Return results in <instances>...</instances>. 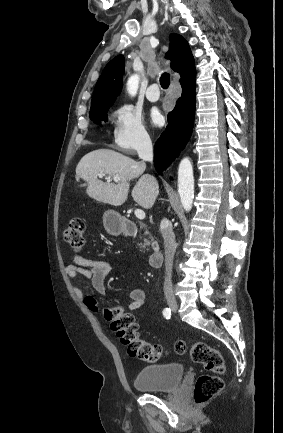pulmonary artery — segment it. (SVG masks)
<instances>
[{"label":"pulmonary artery","mask_w":283,"mask_h":433,"mask_svg":"<svg viewBox=\"0 0 283 433\" xmlns=\"http://www.w3.org/2000/svg\"><path fill=\"white\" fill-rule=\"evenodd\" d=\"M146 98L149 101L155 102L160 99V95L158 94L157 84L150 83L148 85V90L146 92Z\"/></svg>","instance_id":"1"}]
</instances>
